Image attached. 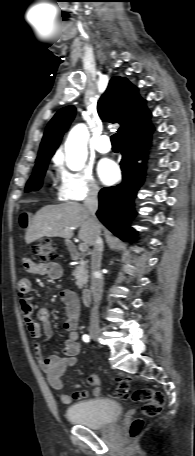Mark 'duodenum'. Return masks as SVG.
Returning <instances> with one entry per match:
<instances>
[{
  "instance_id": "obj_1",
  "label": "duodenum",
  "mask_w": 195,
  "mask_h": 456,
  "mask_svg": "<svg viewBox=\"0 0 195 456\" xmlns=\"http://www.w3.org/2000/svg\"><path fill=\"white\" fill-rule=\"evenodd\" d=\"M67 246V249L70 253V255L72 257H77L78 256V252H77V249L75 248L74 244L72 242H67L66 244ZM91 298H92V294H91V291L90 289L88 288H84L82 290V301L85 305H89L91 303Z\"/></svg>"
}]
</instances>
